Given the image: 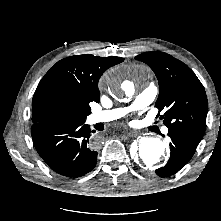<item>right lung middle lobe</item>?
<instances>
[{
  "label": "right lung middle lobe",
  "mask_w": 221,
  "mask_h": 221,
  "mask_svg": "<svg viewBox=\"0 0 221 221\" xmlns=\"http://www.w3.org/2000/svg\"><path fill=\"white\" fill-rule=\"evenodd\" d=\"M42 113L50 121H84L91 113L89 104L79 105L65 96H51L42 104Z\"/></svg>",
  "instance_id": "obj_1"
}]
</instances>
